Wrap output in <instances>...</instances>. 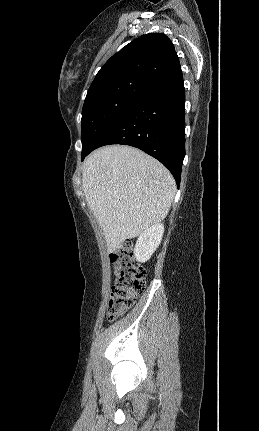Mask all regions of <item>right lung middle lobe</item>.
<instances>
[{"label": "right lung middle lobe", "mask_w": 259, "mask_h": 431, "mask_svg": "<svg viewBox=\"0 0 259 431\" xmlns=\"http://www.w3.org/2000/svg\"><path fill=\"white\" fill-rule=\"evenodd\" d=\"M149 89L133 81L86 96L81 119L82 156L101 133Z\"/></svg>", "instance_id": "1"}]
</instances>
